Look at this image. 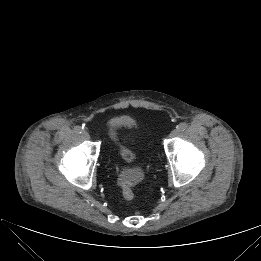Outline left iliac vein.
<instances>
[{
  "label": "left iliac vein",
  "mask_w": 261,
  "mask_h": 261,
  "mask_svg": "<svg viewBox=\"0 0 261 261\" xmlns=\"http://www.w3.org/2000/svg\"><path fill=\"white\" fill-rule=\"evenodd\" d=\"M179 135V130L178 129H174V130H172L171 131V133H170V137H176V136H178Z\"/></svg>",
  "instance_id": "obj_1"
}]
</instances>
